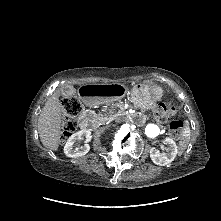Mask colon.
<instances>
[{
    "label": "colon",
    "mask_w": 221,
    "mask_h": 221,
    "mask_svg": "<svg viewBox=\"0 0 221 221\" xmlns=\"http://www.w3.org/2000/svg\"><path fill=\"white\" fill-rule=\"evenodd\" d=\"M65 118L62 124V132L60 136L61 141H65L71 136L76 129L75 117L82 110V103L74 97L65 99L63 103ZM177 112L176 106L171 101H164L159 103L155 108V117L157 120L164 122ZM184 123L180 120H172L169 123V134L173 138H179L183 135Z\"/></svg>",
    "instance_id": "1"
}]
</instances>
